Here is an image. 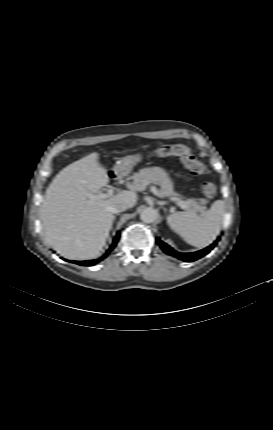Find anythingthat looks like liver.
<instances>
[{"instance_id":"liver-1","label":"liver","mask_w":273,"mask_h":430,"mask_svg":"<svg viewBox=\"0 0 273 430\" xmlns=\"http://www.w3.org/2000/svg\"><path fill=\"white\" fill-rule=\"evenodd\" d=\"M93 152L61 170L49 185L41 207V220L45 237L61 256L73 260L97 257L106 243L114 220L109 207L116 202L128 208L138 201L135 184L122 180L128 191L109 199L91 200V195L108 181L107 170ZM117 174V173H116Z\"/></svg>"}]
</instances>
